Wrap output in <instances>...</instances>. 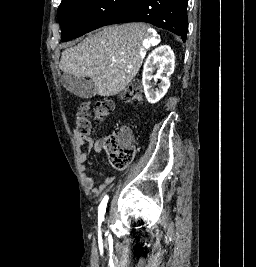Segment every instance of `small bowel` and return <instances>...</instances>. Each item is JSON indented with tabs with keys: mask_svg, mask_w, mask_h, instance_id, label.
Instances as JSON below:
<instances>
[{
	"mask_svg": "<svg viewBox=\"0 0 256 267\" xmlns=\"http://www.w3.org/2000/svg\"><path fill=\"white\" fill-rule=\"evenodd\" d=\"M75 141L78 147L82 148L78 155V167L85 188L94 195H99L114 181L115 174H111L106 179L95 185L94 179L87 173L85 163L89 160L92 152L99 154L104 146V138L97 140L88 136H83L79 132L74 133Z\"/></svg>",
	"mask_w": 256,
	"mask_h": 267,
	"instance_id": "1",
	"label": "small bowel"
}]
</instances>
